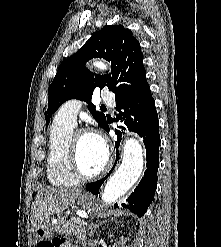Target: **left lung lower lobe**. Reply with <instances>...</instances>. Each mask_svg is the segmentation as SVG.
I'll return each instance as SVG.
<instances>
[{
	"instance_id": "obj_1",
	"label": "left lung lower lobe",
	"mask_w": 221,
	"mask_h": 247,
	"mask_svg": "<svg viewBox=\"0 0 221 247\" xmlns=\"http://www.w3.org/2000/svg\"><path fill=\"white\" fill-rule=\"evenodd\" d=\"M116 110L118 113H116L114 121L124 124L115 129L118 136L116 148L118 149L122 133L127 129L138 133L143 138L146 147L147 170L144 173V177L134 192L121 204L123 208L142 217L154 198L159 167V123L151 91L142 96L116 102ZM108 122L111 121L108 120ZM108 122L103 128L107 132H109ZM106 178L107 176L99 181L88 183L86 189L98 195L100 187ZM114 207L117 208L118 204H115Z\"/></svg>"
}]
</instances>
